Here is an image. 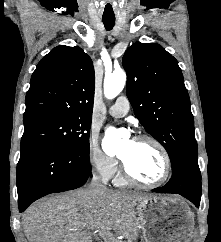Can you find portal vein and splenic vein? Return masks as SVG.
<instances>
[{
    "label": "portal vein and splenic vein",
    "mask_w": 221,
    "mask_h": 242,
    "mask_svg": "<svg viewBox=\"0 0 221 242\" xmlns=\"http://www.w3.org/2000/svg\"><path fill=\"white\" fill-rule=\"evenodd\" d=\"M106 235H108V234L106 233V231H101V232H100V236H101V237H106Z\"/></svg>",
    "instance_id": "18ae733b"
}]
</instances>
